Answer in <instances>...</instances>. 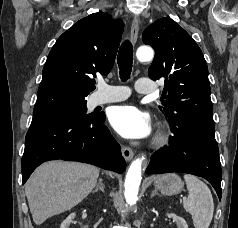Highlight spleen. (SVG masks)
I'll list each match as a JSON object with an SVG mask.
<instances>
[{
	"label": "spleen",
	"instance_id": "obj_1",
	"mask_svg": "<svg viewBox=\"0 0 238 228\" xmlns=\"http://www.w3.org/2000/svg\"><path fill=\"white\" fill-rule=\"evenodd\" d=\"M188 197L184 209L192 215L195 228H208L214 212V202L208 186L194 175L185 174Z\"/></svg>",
	"mask_w": 238,
	"mask_h": 228
}]
</instances>
